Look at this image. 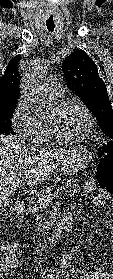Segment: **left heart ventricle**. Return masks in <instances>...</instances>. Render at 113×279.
Masks as SVG:
<instances>
[{"mask_svg":"<svg viewBox=\"0 0 113 279\" xmlns=\"http://www.w3.org/2000/svg\"><path fill=\"white\" fill-rule=\"evenodd\" d=\"M47 119L53 122L60 134L67 137L82 135L87 128V118L84 112L74 104L61 110L53 108Z\"/></svg>","mask_w":113,"mask_h":279,"instance_id":"1","label":"left heart ventricle"}]
</instances>
